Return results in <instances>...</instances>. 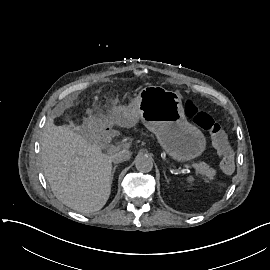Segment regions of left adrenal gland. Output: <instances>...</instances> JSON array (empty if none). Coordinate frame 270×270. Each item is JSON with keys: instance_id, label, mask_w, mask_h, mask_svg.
I'll use <instances>...</instances> for the list:
<instances>
[{"instance_id": "obj_1", "label": "left adrenal gland", "mask_w": 270, "mask_h": 270, "mask_svg": "<svg viewBox=\"0 0 270 270\" xmlns=\"http://www.w3.org/2000/svg\"><path fill=\"white\" fill-rule=\"evenodd\" d=\"M163 174H164L166 181L169 183V179L167 178L165 171H163Z\"/></svg>"}]
</instances>
